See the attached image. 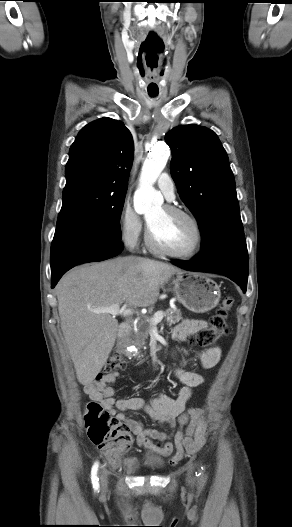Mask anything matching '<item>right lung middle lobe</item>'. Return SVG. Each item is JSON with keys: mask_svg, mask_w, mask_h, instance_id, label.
<instances>
[{"mask_svg": "<svg viewBox=\"0 0 292 527\" xmlns=\"http://www.w3.org/2000/svg\"><path fill=\"white\" fill-rule=\"evenodd\" d=\"M126 191L90 184L66 185L57 226H79L121 239L120 216Z\"/></svg>", "mask_w": 292, "mask_h": 527, "instance_id": "obj_1", "label": "right lung middle lobe"}]
</instances>
